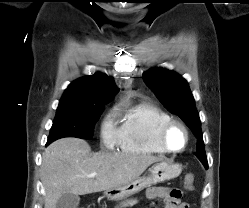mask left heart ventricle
Here are the masks:
<instances>
[{
    "instance_id": "b2bd125f",
    "label": "left heart ventricle",
    "mask_w": 249,
    "mask_h": 208,
    "mask_svg": "<svg viewBox=\"0 0 249 208\" xmlns=\"http://www.w3.org/2000/svg\"><path fill=\"white\" fill-rule=\"evenodd\" d=\"M167 142L172 148H181L185 143V134L179 127L173 128L167 135Z\"/></svg>"
}]
</instances>
